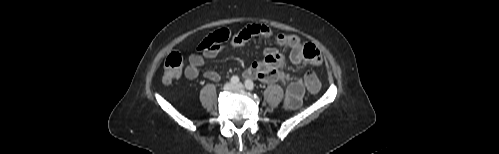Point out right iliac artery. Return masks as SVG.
<instances>
[{
	"label": "right iliac artery",
	"mask_w": 499,
	"mask_h": 154,
	"mask_svg": "<svg viewBox=\"0 0 499 154\" xmlns=\"http://www.w3.org/2000/svg\"><path fill=\"white\" fill-rule=\"evenodd\" d=\"M231 82H232L233 84H237V83L239 82V77H238V76H232V77H231Z\"/></svg>",
	"instance_id": "obj_1"
}]
</instances>
